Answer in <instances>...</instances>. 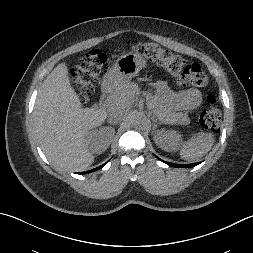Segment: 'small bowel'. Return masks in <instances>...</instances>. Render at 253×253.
<instances>
[{
	"label": "small bowel",
	"instance_id": "obj_1",
	"mask_svg": "<svg viewBox=\"0 0 253 253\" xmlns=\"http://www.w3.org/2000/svg\"><path fill=\"white\" fill-rule=\"evenodd\" d=\"M156 90L163 102L173 110H194L202 102L201 93L197 89L191 88L174 92L165 83L158 82Z\"/></svg>",
	"mask_w": 253,
	"mask_h": 253
}]
</instances>
